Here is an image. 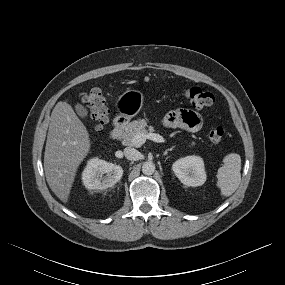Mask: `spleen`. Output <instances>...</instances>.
Returning <instances> with one entry per match:
<instances>
[{
  "mask_svg": "<svg viewBox=\"0 0 285 285\" xmlns=\"http://www.w3.org/2000/svg\"><path fill=\"white\" fill-rule=\"evenodd\" d=\"M217 186L223 196H231L241 182V157L230 153L223 158V166L218 169Z\"/></svg>",
  "mask_w": 285,
  "mask_h": 285,
  "instance_id": "3e777b00",
  "label": "spleen"
}]
</instances>
